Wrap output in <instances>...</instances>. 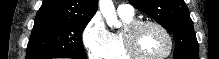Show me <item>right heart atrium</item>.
<instances>
[{
  "instance_id": "1",
  "label": "right heart atrium",
  "mask_w": 219,
  "mask_h": 59,
  "mask_svg": "<svg viewBox=\"0 0 219 59\" xmlns=\"http://www.w3.org/2000/svg\"><path fill=\"white\" fill-rule=\"evenodd\" d=\"M110 32L99 15H95L82 33V43L90 59H102L109 44Z\"/></svg>"
}]
</instances>
